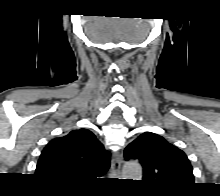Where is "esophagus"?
<instances>
[{"instance_id": "1", "label": "esophagus", "mask_w": 220, "mask_h": 196, "mask_svg": "<svg viewBox=\"0 0 220 196\" xmlns=\"http://www.w3.org/2000/svg\"><path fill=\"white\" fill-rule=\"evenodd\" d=\"M121 163H122V154L117 153L115 158L112 160L110 168V176L115 179H120L121 176Z\"/></svg>"}]
</instances>
